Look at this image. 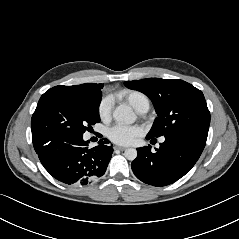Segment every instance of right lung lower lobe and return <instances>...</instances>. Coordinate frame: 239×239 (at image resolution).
I'll return each instance as SVG.
<instances>
[{
  "mask_svg": "<svg viewBox=\"0 0 239 239\" xmlns=\"http://www.w3.org/2000/svg\"><path fill=\"white\" fill-rule=\"evenodd\" d=\"M83 135L56 136L36 150L45 169L65 184L86 185L101 177L111 159L113 148L107 139L89 148Z\"/></svg>",
  "mask_w": 239,
  "mask_h": 239,
  "instance_id": "1",
  "label": "right lung lower lobe"
}]
</instances>
